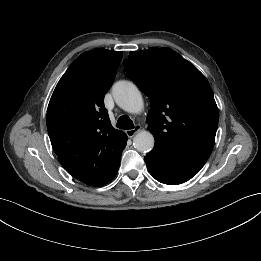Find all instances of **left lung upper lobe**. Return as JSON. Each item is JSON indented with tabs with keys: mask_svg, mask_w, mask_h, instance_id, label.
<instances>
[{
	"mask_svg": "<svg viewBox=\"0 0 261 261\" xmlns=\"http://www.w3.org/2000/svg\"><path fill=\"white\" fill-rule=\"evenodd\" d=\"M131 80L149 97L146 122L155 150L207 160L218 126V108L204 75L169 48L132 51L124 60Z\"/></svg>",
	"mask_w": 261,
	"mask_h": 261,
	"instance_id": "5c2ea615",
	"label": "left lung upper lobe"
}]
</instances>
